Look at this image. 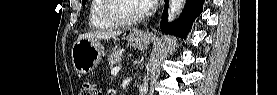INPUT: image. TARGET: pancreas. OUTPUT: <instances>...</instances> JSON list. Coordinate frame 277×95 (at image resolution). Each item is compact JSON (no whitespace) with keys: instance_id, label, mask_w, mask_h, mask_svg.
Segmentation results:
<instances>
[{"instance_id":"pancreas-1","label":"pancreas","mask_w":277,"mask_h":95,"mask_svg":"<svg viewBox=\"0 0 277 95\" xmlns=\"http://www.w3.org/2000/svg\"><path fill=\"white\" fill-rule=\"evenodd\" d=\"M121 56H122V54L120 51H116L109 56L108 62L110 65V69H113L115 66L120 64V62L122 61Z\"/></svg>"}]
</instances>
